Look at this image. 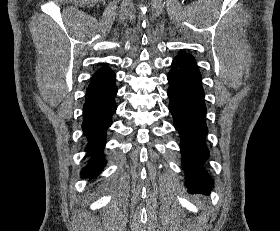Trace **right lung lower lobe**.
Returning a JSON list of instances; mask_svg holds the SVG:
<instances>
[{"mask_svg": "<svg viewBox=\"0 0 280 231\" xmlns=\"http://www.w3.org/2000/svg\"><path fill=\"white\" fill-rule=\"evenodd\" d=\"M117 87L106 89L98 94L85 97L82 129L88 140L86 151L91 159L81 171L82 177L98 174L106 164L102 150L106 143V132L112 123V115L117 106L114 97Z\"/></svg>", "mask_w": 280, "mask_h": 231, "instance_id": "obj_1", "label": "right lung lower lobe"}]
</instances>
